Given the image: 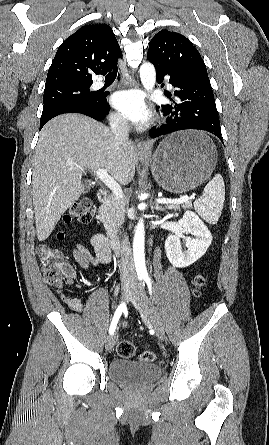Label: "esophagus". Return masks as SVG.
<instances>
[{
	"label": "esophagus",
	"instance_id": "obj_1",
	"mask_svg": "<svg viewBox=\"0 0 269 445\" xmlns=\"http://www.w3.org/2000/svg\"><path fill=\"white\" fill-rule=\"evenodd\" d=\"M125 83H126V85H128V86H133V87H138V83H137V81L136 80H134V79H132V78H130V79H127L126 81H125ZM136 147L139 149V150H145L146 149V145H145V143L142 141V140H137V142H136Z\"/></svg>",
	"mask_w": 269,
	"mask_h": 445
}]
</instances>
